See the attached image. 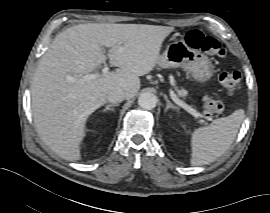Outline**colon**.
<instances>
[{"label":"colon","mask_w":270,"mask_h":213,"mask_svg":"<svg viewBox=\"0 0 270 213\" xmlns=\"http://www.w3.org/2000/svg\"><path fill=\"white\" fill-rule=\"evenodd\" d=\"M187 44L193 49H199L203 52L216 56L225 57L226 50L221 43L213 37L206 36L197 30H191L186 35ZM240 73L231 71L221 76L220 82L225 91L234 95L239 91ZM222 110V103L213 95H205L202 98V114L207 117L216 116Z\"/></svg>","instance_id":"colon-1"}]
</instances>
